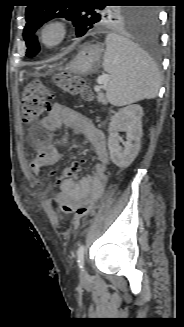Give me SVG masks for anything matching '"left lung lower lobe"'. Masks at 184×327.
Returning <instances> with one entry per match:
<instances>
[{"instance_id":"obj_1","label":"left lung lower lobe","mask_w":184,"mask_h":327,"mask_svg":"<svg viewBox=\"0 0 184 327\" xmlns=\"http://www.w3.org/2000/svg\"><path fill=\"white\" fill-rule=\"evenodd\" d=\"M136 41L138 47L153 56L159 53V22L153 9H144V15L136 25Z\"/></svg>"}]
</instances>
